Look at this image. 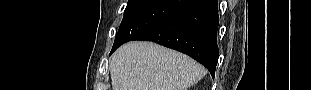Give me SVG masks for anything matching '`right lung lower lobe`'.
I'll return each mask as SVG.
<instances>
[{
  "label": "right lung lower lobe",
  "mask_w": 311,
  "mask_h": 90,
  "mask_svg": "<svg viewBox=\"0 0 311 90\" xmlns=\"http://www.w3.org/2000/svg\"><path fill=\"white\" fill-rule=\"evenodd\" d=\"M217 4V0H189L168 19L134 40L153 41L183 52L203 64L214 78L219 56Z\"/></svg>",
  "instance_id": "obj_1"
}]
</instances>
